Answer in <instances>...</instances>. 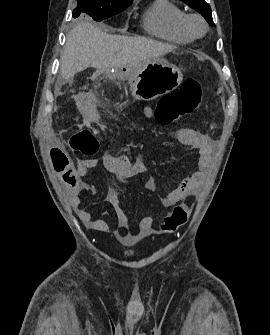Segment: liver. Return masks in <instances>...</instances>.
I'll return each instance as SVG.
<instances>
[{
	"label": "liver",
	"mask_w": 270,
	"mask_h": 335,
	"mask_svg": "<svg viewBox=\"0 0 270 335\" xmlns=\"http://www.w3.org/2000/svg\"><path fill=\"white\" fill-rule=\"evenodd\" d=\"M173 50L174 46L151 38L113 36L101 32L89 22H79L67 34L60 56V72L62 78H74L75 74L91 66L101 72L129 68L130 76L134 78L151 60L165 56Z\"/></svg>",
	"instance_id": "1"
}]
</instances>
